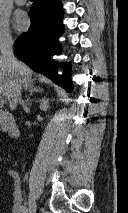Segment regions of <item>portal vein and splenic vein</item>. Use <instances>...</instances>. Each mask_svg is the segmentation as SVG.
Masks as SVG:
<instances>
[{"label":"portal vein and splenic vein","instance_id":"obj_1","mask_svg":"<svg viewBox=\"0 0 128 213\" xmlns=\"http://www.w3.org/2000/svg\"><path fill=\"white\" fill-rule=\"evenodd\" d=\"M6 103V99L0 95V104Z\"/></svg>","mask_w":128,"mask_h":213}]
</instances>
